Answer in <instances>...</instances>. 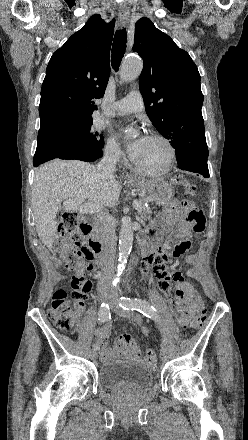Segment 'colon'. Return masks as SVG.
<instances>
[{"label":"colon","mask_w":248,"mask_h":440,"mask_svg":"<svg viewBox=\"0 0 248 440\" xmlns=\"http://www.w3.org/2000/svg\"><path fill=\"white\" fill-rule=\"evenodd\" d=\"M186 192L189 195L196 193V187L188 183ZM187 203V202H182ZM191 204V203H190ZM192 205V204H191ZM182 208H185L182 205ZM187 222L194 233H201L205 229V217L202 211L193 205L186 208ZM59 236L55 242V249L61 254L66 268L73 272L70 291L57 290L52 298L48 314L50 320L59 328L69 329L73 326L77 317V308L88 298L92 284L86 278V274L96 267L94 253L91 248L81 240L82 221L81 217L74 212H65L59 225ZM199 301V311L189 325L190 330L197 331L205 323L206 314ZM147 327L141 329L144 337L149 335ZM145 363L155 365L156 357L152 350H147L144 357Z\"/></svg>","instance_id":"colon-1"}]
</instances>
